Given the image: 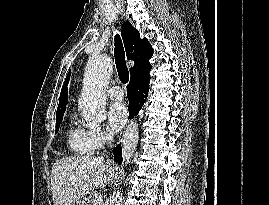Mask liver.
<instances>
[{
	"instance_id": "obj_1",
	"label": "liver",
	"mask_w": 269,
	"mask_h": 205,
	"mask_svg": "<svg viewBox=\"0 0 269 205\" xmlns=\"http://www.w3.org/2000/svg\"><path fill=\"white\" fill-rule=\"evenodd\" d=\"M114 167L101 157L73 156L56 160L51 170L54 205H74L90 190L107 186Z\"/></svg>"
}]
</instances>
